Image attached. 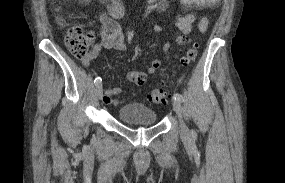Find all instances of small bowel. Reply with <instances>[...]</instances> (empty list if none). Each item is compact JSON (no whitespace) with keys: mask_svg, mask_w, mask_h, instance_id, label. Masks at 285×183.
I'll return each instance as SVG.
<instances>
[{"mask_svg":"<svg viewBox=\"0 0 285 183\" xmlns=\"http://www.w3.org/2000/svg\"><path fill=\"white\" fill-rule=\"evenodd\" d=\"M183 6V12L175 16L176 32L172 38L178 45H186L192 42L193 37L190 36L192 32L193 23L198 15L200 20L198 23V30L206 32L210 24V14L203 13L205 9H214L220 0H179ZM106 7V12L99 15L101 42L93 46V49L86 58L83 59L84 65L88 66L93 60L98 58L104 49H113L118 51H125L127 49L124 33L117 22L124 16V6L120 0H100ZM168 8V0H147L145 8V16L154 13H163ZM165 31L161 25L154 27V33L160 34ZM156 46L154 42L151 48ZM163 52L168 54L171 51V41L168 40L163 45ZM162 65L158 58H153L150 65L145 71L132 70L127 73L129 81L136 84L138 87L144 85L147 77L154 74ZM122 90L119 87H108L105 90L104 103L117 105L121 103L115 97L121 94Z\"/></svg>","mask_w":285,"mask_h":183,"instance_id":"1","label":"small bowel"}]
</instances>
